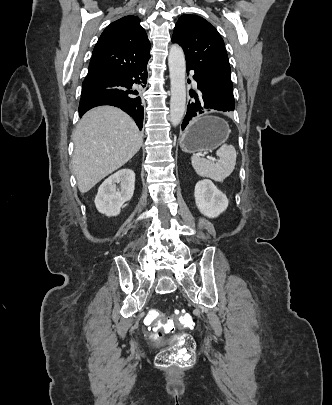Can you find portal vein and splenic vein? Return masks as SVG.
<instances>
[{"label": "portal vein and splenic vein", "mask_w": 332, "mask_h": 405, "mask_svg": "<svg viewBox=\"0 0 332 405\" xmlns=\"http://www.w3.org/2000/svg\"><path fill=\"white\" fill-rule=\"evenodd\" d=\"M208 159L209 160H216L215 158H213V157H208Z\"/></svg>", "instance_id": "obj_1"}]
</instances>
